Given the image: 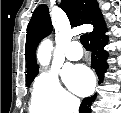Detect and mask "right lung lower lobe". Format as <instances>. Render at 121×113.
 Instances as JSON below:
<instances>
[{"label": "right lung lower lobe", "instance_id": "98d812e1", "mask_svg": "<svg viewBox=\"0 0 121 113\" xmlns=\"http://www.w3.org/2000/svg\"><path fill=\"white\" fill-rule=\"evenodd\" d=\"M105 33H106V28H104L98 34L90 38V42H91L90 45L92 50L91 66L92 68L95 69L98 75L99 83H102L104 79V73L106 72L108 67L106 62L108 53L103 49L108 42V37L105 35ZM95 99H96V95L84 98L81 103L79 112L91 113L90 105Z\"/></svg>", "mask_w": 121, "mask_h": 113}]
</instances>
